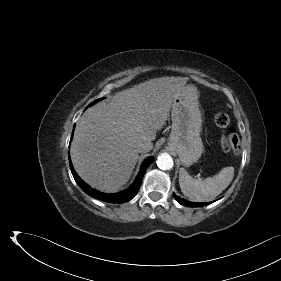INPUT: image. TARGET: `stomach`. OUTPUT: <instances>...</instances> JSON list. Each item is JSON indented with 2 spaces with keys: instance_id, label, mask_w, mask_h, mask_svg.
I'll return each instance as SVG.
<instances>
[{
  "instance_id": "obj_1",
  "label": "stomach",
  "mask_w": 281,
  "mask_h": 281,
  "mask_svg": "<svg viewBox=\"0 0 281 281\" xmlns=\"http://www.w3.org/2000/svg\"><path fill=\"white\" fill-rule=\"evenodd\" d=\"M198 96L194 85H185L172 103V129L167 148L178 155L184 166L198 161L204 151L200 137L202 116Z\"/></svg>"
}]
</instances>
